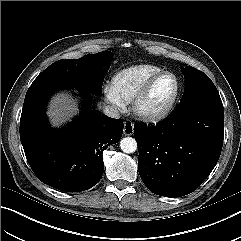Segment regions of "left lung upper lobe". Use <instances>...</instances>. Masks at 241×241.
Masks as SVG:
<instances>
[{
    "label": "left lung upper lobe",
    "mask_w": 241,
    "mask_h": 241,
    "mask_svg": "<svg viewBox=\"0 0 241 241\" xmlns=\"http://www.w3.org/2000/svg\"><path fill=\"white\" fill-rule=\"evenodd\" d=\"M183 73L185 90L180 104L194 100L221 101L217 88L205 73L191 66L183 68Z\"/></svg>",
    "instance_id": "5c2ea615"
}]
</instances>
